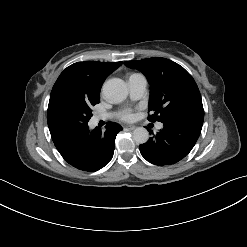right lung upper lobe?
<instances>
[{
	"label": "right lung upper lobe",
	"instance_id": "1",
	"mask_svg": "<svg viewBox=\"0 0 247 247\" xmlns=\"http://www.w3.org/2000/svg\"><path fill=\"white\" fill-rule=\"evenodd\" d=\"M122 62H77L67 67L55 82L49 104L61 94H76L87 98H99L106 77ZM56 139V138H52Z\"/></svg>",
	"mask_w": 247,
	"mask_h": 247
}]
</instances>
